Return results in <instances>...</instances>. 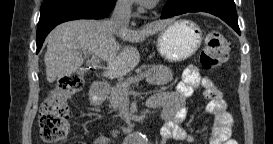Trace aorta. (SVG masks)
<instances>
[{"mask_svg":"<svg viewBox=\"0 0 273 144\" xmlns=\"http://www.w3.org/2000/svg\"><path fill=\"white\" fill-rule=\"evenodd\" d=\"M127 142V144H146V139L140 133H133L128 137Z\"/></svg>","mask_w":273,"mask_h":144,"instance_id":"aorta-1","label":"aorta"}]
</instances>
